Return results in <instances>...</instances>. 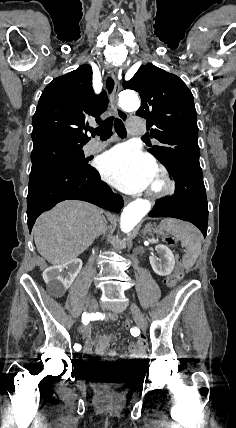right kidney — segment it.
<instances>
[{
  "label": "right kidney",
  "mask_w": 236,
  "mask_h": 428,
  "mask_svg": "<svg viewBox=\"0 0 236 428\" xmlns=\"http://www.w3.org/2000/svg\"><path fill=\"white\" fill-rule=\"evenodd\" d=\"M82 268V260L73 258L61 266H51L43 272V280L46 282V292H54V300H65L66 290L73 284ZM64 288V291H63Z\"/></svg>",
  "instance_id": "ca27d5eb"
}]
</instances>
